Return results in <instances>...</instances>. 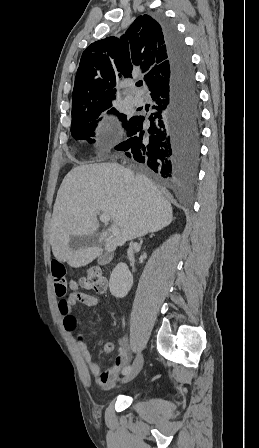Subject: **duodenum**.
Returning a JSON list of instances; mask_svg holds the SVG:
<instances>
[{"instance_id":"obj_1","label":"duodenum","mask_w":259,"mask_h":448,"mask_svg":"<svg viewBox=\"0 0 259 448\" xmlns=\"http://www.w3.org/2000/svg\"><path fill=\"white\" fill-rule=\"evenodd\" d=\"M112 257H113V255H112L111 252H109V251L104 252L99 257V263L101 265H106V264H108L112 260Z\"/></svg>"}]
</instances>
